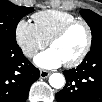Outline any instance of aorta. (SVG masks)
<instances>
[{
    "instance_id": "obj_1",
    "label": "aorta",
    "mask_w": 102,
    "mask_h": 102,
    "mask_svg": "<svg viewBox=\"0 0 102 102\" xmlns=\"http://www.w3.org/2000/svg\"><path fill=\"white\" fill-rule=\"evenodd\" d=\"M49 83L53 88L60 89L65 85V78L60 73H53L49 77Z\"/></svg>"
}]
</instances>
